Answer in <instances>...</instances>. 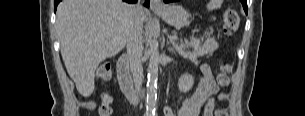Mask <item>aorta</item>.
<instances>
[{"instance_id": "762f6f07", "label": "aorta", "mask_w": 305, "mask_h": 116, "mask_svg": "<svg viewBox=\"0 0 305 116\" xmlns=\"http://www.w3.org/2000/svg\"><path fill=\"white\" fill-rule=\"evenodd\" d=\"M149 45V66L147 73V99H146V110L147 113H153L155 111L156 100H157V81H158V66L160 62L158 42L153 39H148Z\"/></svg>"}]
</instances>
